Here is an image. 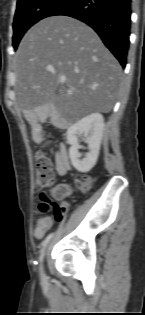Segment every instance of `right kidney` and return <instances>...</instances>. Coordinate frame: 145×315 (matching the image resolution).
Here are the masks:
<instances>
[{"label":"right kidney","instance_id":"obj_1","mask_svg":"<svg viewBox=\"0 0 145 315\" xmlns=\"http://www.w3.org/2000/svg\"><path fill=\"white\" fill-rule=\"evenodd\" d=\"M104 126V117L100 113H92L68 128L66 133L67 142L71 145L69 157L73 167L79 172L86 173L95 166ZM82 134L86 138L89 149L84 158H81L82 155L78 151V137Z\"/></svg>","mask_w":145,"mask_h":315}]
</instances>
